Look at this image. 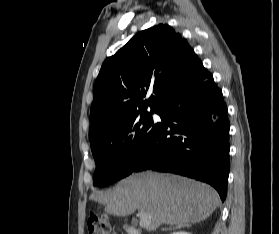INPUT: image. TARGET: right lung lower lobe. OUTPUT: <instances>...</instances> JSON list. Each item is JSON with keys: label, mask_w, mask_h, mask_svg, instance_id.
<instances>
[{"label": "right lung lower lobe", "mask_w": 279, "mask_h": 234, "mask_svg": "<svg viewBox=\"0 0 279 234\" xmlns=\"http://www.w3.org/2000/svg\"><path fill=\"white\" fill-rule=\"evenodd\" d=\"M146 152L133 171L153 169L211 184L222 201L229 175V121L222 91L202 62L158 108Z\"/></svg>", "instance_id": "98d812e1"}]
</instances>
